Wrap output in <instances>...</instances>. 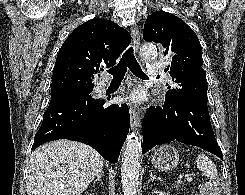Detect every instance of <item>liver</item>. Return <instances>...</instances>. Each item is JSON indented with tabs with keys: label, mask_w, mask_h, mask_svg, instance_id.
Listing matches in <instances>:
<instances>
[{
	"label": "liver",
	"mask_w": 245,
	"mask_h": 195,
	"mask_svg": "<svg viewBox=\"0 0 245 195\" xmlns=\"http://www.w3.org/2000/svg\"><path fill=\"white\" fill-rule=\"evenodd\" d=\"M103 157L70 140L44 144L30 156L28 195H80L103 170Z\"/></svg>",
	"instance_id": "obj_1"
}]
</instances>
